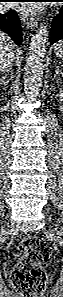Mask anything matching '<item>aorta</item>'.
<instances>
[{
  "label": "aorta",
  "instance_id": "1",
  "mask_svg": "<svg viewBox=\"0 0 63 297\" xmlns=\"http://www.w3.org/2000/svg\"><path fill=\"white\" fill-rule=\"evenodd\" d=\"M48 43V29L41 24L31 39L24 72V90L27 96H36L40 90L45 53Z\"/></svg>",
  "mask_w": 63,
  "mask_h": 297
}]
</instances>
